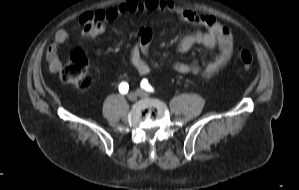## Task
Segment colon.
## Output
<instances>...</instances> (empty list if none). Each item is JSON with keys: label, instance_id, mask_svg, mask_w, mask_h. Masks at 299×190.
Listing matches in <instances>:
<instances>
[{"label": "colon", "instance_id": "5ec220e1", "mask_svg": "<svg viewBox=\"0 0 299 190\" xmlns=\"http://www.w3.org/2000/svg\"><path fill=\"white\" fill-rule=\"evenodd\" d=\"M238 59L242 66L250 67L253 62V54L247 48L239 50ZM60 79L78 90H86L91 84V77L88 68V59L81 49H75L70 60L60 70Z\"/></svg>", "mask_w": 299, "mask_h": 190}]
</instances>
